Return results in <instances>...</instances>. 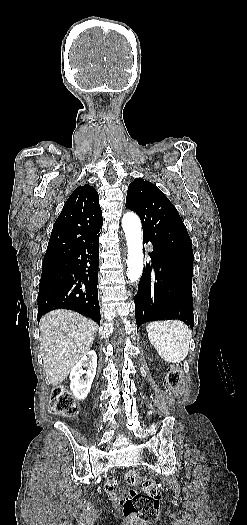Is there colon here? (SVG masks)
<instances>
[{"label":"colon","instance_id":"5ec220e1","mask_svg":"<svg viewBox=\"0 0 247 525\" xmlns=\"http://www.w3.org/2000/svg\"><path fill=\"white\" fill-rule=\"evenodd\" d=\"M182 365L172 363L166 375V387L174 393L180 385ZM50 410L60 416L72 417L78 412L77 405L67 391L59 383L54 386L50 400ZM125 481L129 485L137 486V490L129 491L122 501L124 516L135 518L146 524H154L159 518V502L161 493L158 484L150 479H142L138 472L129 471L125 474Z\"/></svg>","mask_w":247,"mask_h":525}]
</instances>
